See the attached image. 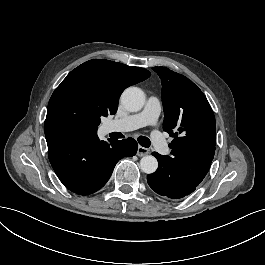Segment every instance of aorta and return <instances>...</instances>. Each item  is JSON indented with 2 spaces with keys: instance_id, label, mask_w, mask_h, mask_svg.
Masks as SVG:
<instances>
[{
  "instance_id": "aorta-1",
  "label": "aorta",
  "mask_w": 265,
  "mask_h": 265,
  "mask_svg": "<svg viewBox=\"0 0 265 265\" xmlns=\"http://www.w3.org/2000/svg\"><path fill=\"white\" fill-rule=\"evenodd\" d=\"M145 93L138 87H128L120 97L121 104L129 112H137L145 103ZM140 168L146 174L154 173L158 168L157 159L152 155L143 156L140 160Z\"/></svg>"
}]
</instances>
